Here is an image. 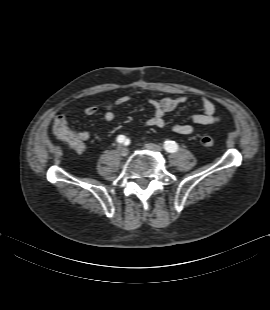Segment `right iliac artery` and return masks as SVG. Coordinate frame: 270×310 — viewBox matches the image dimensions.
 I'll return each instance as SVG.
<instances>
[{
  "instance_id": "1",
  "label": "right iliac artery",
  "mask_w": 270,
  "mask_h": 310,
  "mask_svg": "<svg viewBox=\"0 0 270 310\" xmlns=\"http://www.w3.org/2000/svg\"><path fill=\"white\" fill-rule=\"evenodd\" d=\"M117 141L119 143H125V144H128V142H129V140L124 135H119L117 137Z\"/></svg>"
}]
</instances>
